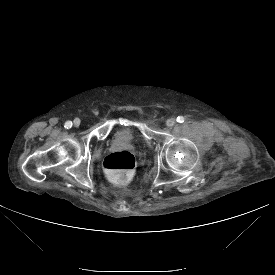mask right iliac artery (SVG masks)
Returning a JSON list of instances; mask_svg holds the SVG:
<instances>
[{
    "label": "right iliac artery",
    "instance_id": "obj_1",
    "mask_svg": "<svg viewBox=\"0 0 275 275\" xmlns=\"http://www.w3.org/2000/svg\"><path fill=\"white\" fill-rule=\"evenodd\" d=\"M64 127H65L66 129L71 128V127H72V122H71V121H67V122H65Z\"/></svg>",
    "mask_w": 275,
    "mask_h": 275
}]
</instances>
